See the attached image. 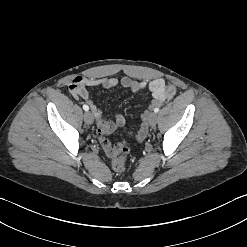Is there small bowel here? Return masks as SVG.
I'll return each mask as SVG.
<instances>
[{
    "label": "small bowel",
    "mask_w": 247,
    "mask_h": 247,
    "mask_svg": "<svg viewBox=\"0 0 247 247\" xmlns=\"http://www.w3.org/2000/svg\"><path fill=\"white\" fill-rule=\"evenodd\" d=\"M118 85H121L122 87L127 88L133 92L147 90L151 95L152 105L161 104L162 101L166 98V85L164 80L162 79H155L147 83L144 81L131 79L127 76L122 77L120 80L114 77L92 78L77 76L71 81L69 85V91L74 98L83 100L91 107L92 113L95 116L98 126V134L102 147L109 157L115 156V147L118 143L112 144L106 139L105 136L114 131L118 126H121L124 123L125 119L121 114L115 115L113 120L106 119L103 111L94 104L87 88L102 87L105 89H111ZM147 132V112H144L142 114V122L137 134V140L142 141L146 137Z\"/></svg>",
    "instance_id": "c3829d8e"
}]
</instances>
